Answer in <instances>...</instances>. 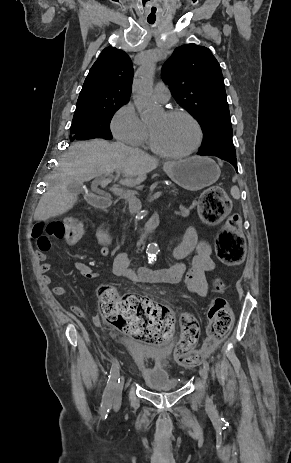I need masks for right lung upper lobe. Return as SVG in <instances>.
Here are the masks:
<instances>
[{"mask_svg": "<svg viewBox=\"0 0 291 463\" xmlns=\"http://www.w3.org/2000/svg\"><path fill=\"white\" fill-rule=\"evenodd\" d=\"M132 81L130 57L112 46L105 48L85 79L74 116L97 110L107 101L126 103L131 95Z\"/></svg>", "mask_w": 291, "mask_h": 463, "instance_id": "right-lung-upper-lobe-1", "label": "right lung upper lobe"}]
</instances>
